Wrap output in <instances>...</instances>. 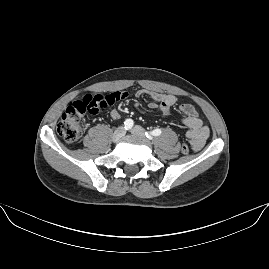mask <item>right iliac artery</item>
Instances as JSON below:
<instances>
[{"label":"right iliac artery","mask_w":269,"mask_h":269,"mask_svg":"<svg viewBox=\"0 0 269 269\" xmlns=\"http://www.w3.org/2000/svg\"><path fill=\"white\" fill-rule=\"evenodd\" d=\"M133 120L132 119H127L125 122H124V128L126 130H130L132 127H133Z\"/></svg>","instance_id":"obj_1"}]
</instances>
